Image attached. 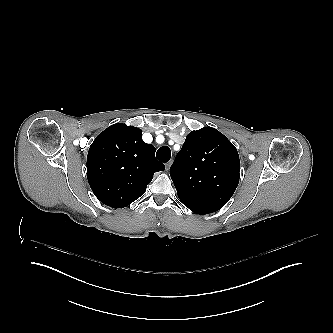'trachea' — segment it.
Returning a JSON list of instances; mask_svg holds the SVG:
<instances>
[{"mask_svg": "<svg viewBox=\"0 0 333 333\" xmlns=\"http://www.w3.org/2000/svg\"><path fill=\"white\" fill-rule=\"evenodd\" d=\"M156 157L159 161L166 163L171 158V150L168 146H163L158 149Z\"/></svg>", "mask_w": 333, "mask_h": 333, "instance_id": "trachea-1", "label": "trachea"}]
</instances>
